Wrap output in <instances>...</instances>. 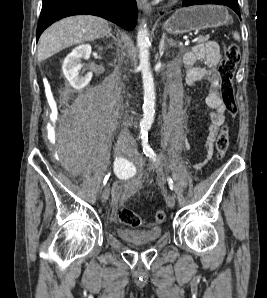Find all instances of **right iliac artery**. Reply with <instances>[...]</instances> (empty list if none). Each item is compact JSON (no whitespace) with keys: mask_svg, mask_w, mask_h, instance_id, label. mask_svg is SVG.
Segmentation results:
<instances>
[{"mask_svg":"<svg viewBox=\"0 0 267 298\" xmlns=\"http://www.w3.org/2000/svg\"><path fill=\"white\" fill-rule=\"evenodd\" d=\"M126 163V160H124V158H116L115 162H114V165L116 167H122L124 164ZM110 174L106 175L105 178H104V184L107 183V180L109 178Z\"/></svg>","mask_w":267,"mask_h":298,"instance_id":"obj_1","label":"right iliac artery"}]
</instances>
